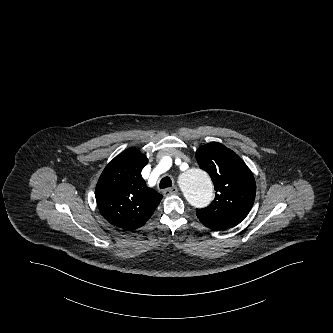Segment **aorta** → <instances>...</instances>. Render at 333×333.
Masks as SVG:
<instances>
[{"label": "aorta", "mask_w": 333, "mask_h": 333, "mask_svg": "<svg viewBox=\"0 0 333 333\" xmlns=\"http://www.w3.org/2000/svg\"><path fill=\"white\" fill-rule=\"evenodd\" d=\"M180 188L190 205L195 208L207 206L214 197L213 184L209 175L195 166H190L181 173Z\"/></svg>", "instance_id": "obj_1"}]
</instances>
